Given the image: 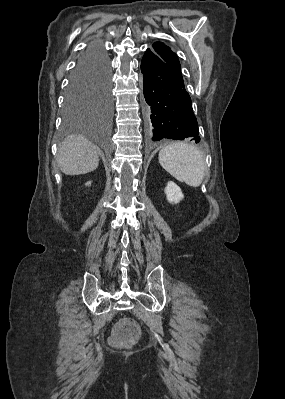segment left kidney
<instances>
[{
  "label": "left kidney",
  "instance_id": "1",
  "mask_svg": "<svg viewBox=\"0 0 285 399\" xmlns=\"http://www.w3.org/2000/svg\"><path fill=\"white\" fill-rule=\"evenodd\" d=\"M165 194H166L167 200L170 203L176 204L184 198V195H183L180 187L172 181H169L167 183V186L165 187Z\"/></svg>",
  "mask_w": 285,
  "mask_h": 399
}]
</instances>
